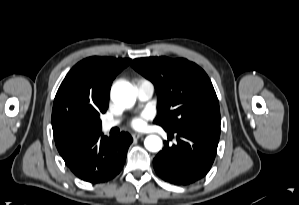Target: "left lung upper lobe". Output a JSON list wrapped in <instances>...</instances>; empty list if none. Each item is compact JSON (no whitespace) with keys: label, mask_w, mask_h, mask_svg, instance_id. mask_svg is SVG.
Instances as JSON below:
<instances>
[{"label":"left lung upper lobe","mask_w":299,"mask_h":205,"mask_svg":"<svg viewBox=\"0 0 299 205\" xmlns=\"http://www.w3.org/2000/svg\"><path fill=\"white\" fill-rule=\"evenodd\" d=\"M131 66L155 86L158 116L154 123L175 130L220 123L219 102L207 74L186 59L147 57Z\"/></svg>","instance_id":"5c2ea615"}]
</instances>
